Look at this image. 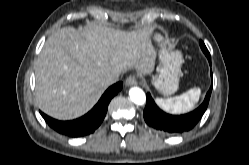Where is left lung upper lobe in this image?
Listing matches in <instances>:
<instances>
[{"instance_id": "1", "label": "left lung upper lobe", "mask_w": 249, "mask_h": 165, "mask_svg": "<svg viewBox=\"0 0 249 165\" xmlns=\"http://www.w3.org/2000/svg\"><path fill=\"white\" fill-rule=\"evenodd\" d=\"M199 44H200V47H201L202 51L204 52V54L208 58V60L209 59L211 60L210 53H209L208 49L206 48L205 44L203 43V41H200Z\"/></svg>"}]
</instances>
